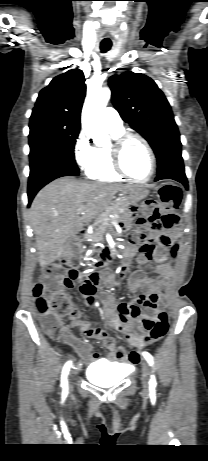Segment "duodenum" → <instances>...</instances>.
Wrapping results in <instances>:
<instances>
[{
	"mask_svg": "<svg viewBox=\"0 0 208 461\" xmlns=\"http://www.w3.org/2000/svg\"><path fill=\"white\" fill-rule=\"evenodd\" d=\"M89 232L86 229H81L77 232V239L79 242H84L87 240Z\"/></svg>",
	"mask_w": 208,
	"mask_h": 461,
	"instance_id": "duodenum-1",
	"label": "duodenum"
}]
</instances>
